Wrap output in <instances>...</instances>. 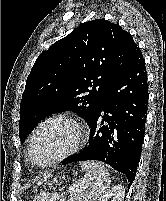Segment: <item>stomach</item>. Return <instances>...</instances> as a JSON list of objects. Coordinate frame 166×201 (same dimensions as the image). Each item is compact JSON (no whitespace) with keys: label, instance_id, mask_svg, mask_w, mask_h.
<instances>
[{"label":"stomach","instance_id":"1","mask_svg":"<svg viewBox=\"0 0 166 201\" xmlns=\"http://www.w3.org/2000/svg\"><path fill=\"white\" fill-rule=\"evenodd\" d=\"M54 184H58V180L57 179H54L52 182H51V186H53Z\"/></svg>","mask_w":166,"mask_h":201}]
</instances>
